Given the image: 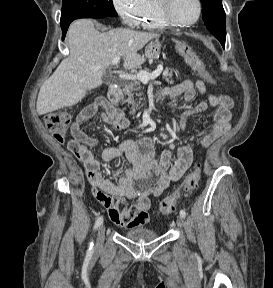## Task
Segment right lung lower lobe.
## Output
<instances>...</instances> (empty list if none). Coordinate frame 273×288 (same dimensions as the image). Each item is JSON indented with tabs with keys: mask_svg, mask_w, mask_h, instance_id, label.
<instances>
[{
	"mask_svg": "<svg viewBox=\"0 0 273 288\" xmlns=\"http://www.w3.org/2000/svg\"><path fill=\"white\" fill-rule=\"evenodd\" d=\"M68 27H69V25L61 27V28H62V32H63V35H62V39H64V37H65V35H66V32H67V29H68Z\"/></svg>",
	"mask_w": 273,
	"mask_h": 288,
	"instance_id": "98d812e1",
	"label": "right lung lower lobe"
}]
</instances>
